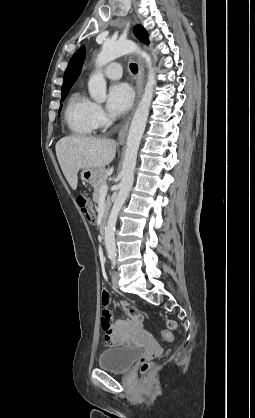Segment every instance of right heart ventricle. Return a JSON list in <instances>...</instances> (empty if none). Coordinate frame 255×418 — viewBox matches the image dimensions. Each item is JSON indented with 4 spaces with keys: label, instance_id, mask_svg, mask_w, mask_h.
<instances>
[{
    "label": "right heart ventricle",
    "instance_id": "e07e8e85",
    "mask_svg": "<svg viewBox=\"0 0 255 418\" xmlns=\"http://www.w3.org/2000/svg\"><path fill=\"white\" fill-rule=\"evenodd\" d=\"M94 103L80 90H74L68 98L64 117L74 135L87 136L94 133L96 124L93 117Z\"/></svg>",
    "mask_w": 255,
    "mask_h": 418
}]
</instances>
